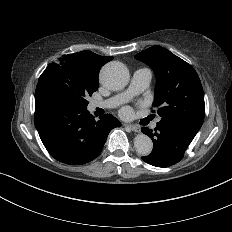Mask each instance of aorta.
Returning <instances> with one entry per match:
<instances>
[{
    "mask_svg": "<svg viewBox=\"0 0 232 232\" xmlns=\"http://www.w3.org/2000/svg\"><path fill=\"white\" fill-rule=\"evenodd\" d=\"M130 79L127 67L118 61H111L105 64L100 71L102 85L112 91L124 88ZM136 151L142 155H149L153 149V142L147 135L141 133L134 139Z\"/></svg>",
    "mask_w": 232,
    "mask_h": 232,
    "instance_id": "1",
    "label": "aorta"
}]
</instances>
